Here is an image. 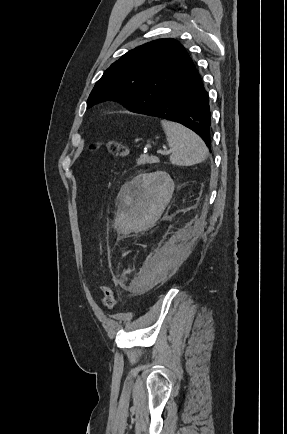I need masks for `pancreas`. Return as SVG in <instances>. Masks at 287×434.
I'll use <instances>...</instances> for the list:
<instances>
[{
    "label": "pancreas",
    "mask_w": 287,
    "mask_h": 434,
    "mask_svg": "<svg viewBox=\"0 0 287 434\" xmlns=\"http://www.w3.org/2000/svg\"><path fill=\"white\" fill-rule=\"evenodd\" d=\"M159 159L155 156H148V155H141L140 158L136 160L137 165H144V164H152V163H158Z\"/></svg>",
    "instance_id": "1"
}]
</instances>
